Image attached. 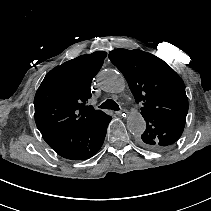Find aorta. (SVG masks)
Returning a JSON list of instances; mask_svg holds the SVG:
<instances>
[{"instance_id": "1", "label": "aorta", "mask_w": 211, "mask_h": 211, "mask_svg": "<svg viewBox=\"0 0 211 211\" xmlns=\"http://www.w3.org/2000/svg\"><path fill=\"white\" fill-rule=\"evenodd\" d=\"M97 80L102 90L109 93H120L125 88V79L117 71L106 69L101 71ZM127 128L133 135H140L145 131L146 122L138 111H132L127 117Z\"/></svg>"}]
</instances>
